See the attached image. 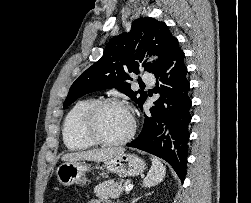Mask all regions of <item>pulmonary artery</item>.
<instances>
[{"label": "pulmonary artery", "mask_w": 251, "mask_h": 203, "mask_svg": "<svg viewBox=\"0 0 251 203\" xmlns=\"http://www.w3.org/2000/svg\"><path fill=\"white\" fill-rule=\"evenodd\" d=\"M142 81L146 84H154L155 77L152 73H145L142 75Z\"/></svg>", "instance_id": "pulmonary-artery-1"}]
</instances>
